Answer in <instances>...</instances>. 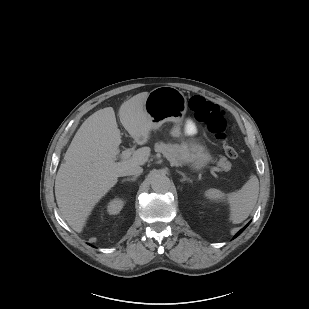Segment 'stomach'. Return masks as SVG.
Wrapping results in <instances>:
<instances>
[{
  "label": "stomach",
  "mask_w": 309,
  "mask_h": 309,
  "mask_svg": "<svg viewBox=\"0 0 309 309\" xmlns=\"http://www.w3.org/2000/svg\"><path fill=\"white\" fill-rule=\"evenodd\" d=\"M144 110L151 121L152 129H158L165 122L180 123L187 110L184 94L170 86H161L149 92L144 102ZM186 162L194 168L204 167L211 159L204 146L195 140L183 141L181 144Z\"/></svg>",
  "instance_id": "1"
}]
</instances>
